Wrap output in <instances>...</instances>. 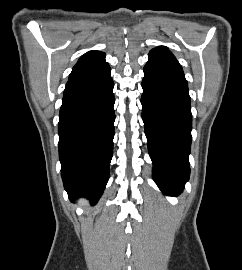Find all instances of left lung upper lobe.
<instances>
[{
	"instance_id": "5c2ea615",
	"label": "left lung upper lobe",
	"mask_w": 242,
	"mask_h": 270,
	"mask_svg": "<svg viewBox=\"0 0 242 270\" xmlns=\"http://www.w3.org/2000/svg\"><path fill=\"white\" fill-rule=\"evenodd\" d=\"M149 57H166V58H174V55L168 50L165 46H159L150 51Z\"/></svg>"
}]
</instances>
